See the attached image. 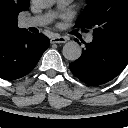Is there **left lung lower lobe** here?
Listing matches in <instances>:
<instances>
[{"label":"left lung lower lobe","instance_id":"0a47b994","mask_svg":"<svg viewBox=\"0 0 128 128\" xmlns=\"http://www.w3.org/2000/svg\"><path fill=\"white\" fill-rule=\"evenodd\" d=\"M81 57L70 63L71 72L90 86L105 84L115 78L128 64V38L93 37L85 43Z\"/></svg>","mask_w":128,"mask_h":128}]
</instances>
